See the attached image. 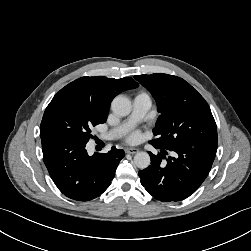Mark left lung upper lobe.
<instances>
[{"label": "left lung upper lobe", "instance_id": "left-lung-upper-lobe-1", "mask_svg": "<svg viewBox=\"0 0 251 251\" xmlns=\"http://www.w3.org/2000/svg\"><path fill=\"white\" fill-rule=\"evenodd\" d=\"M134 78L156 100L159 116L150 142L163 149L197 143L217 144V127L209 105L185 80L156 73Z\"/></svg>", "mask_w": 251, "mask_h": 251}]
</instances>
